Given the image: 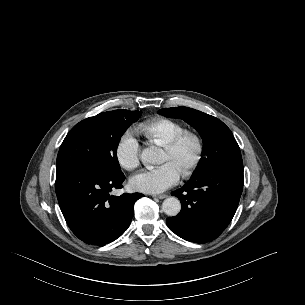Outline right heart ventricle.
<instances>
[{
  "instance_id": "1",
  "label": "right heart ventricle",
  "mask_w": 305,
  "mask_h": 305,
  "mask_svg": "<svg viewBox=\"0 0 305 305\" xmlns=\"http://www.w3.org/2000/svg\"><path fill=\"white\" fill-rule=\"evenodd\" d=\"M138 130L151 142L164 146L174 137L186 131V127L172 119L157 118L141 124Z\"/></svg>"
}]
</instances>
